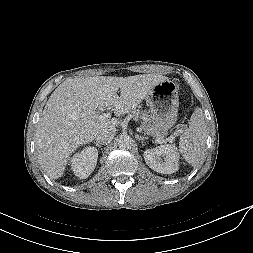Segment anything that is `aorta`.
Instances as JSON below:
<instances>
[{
	"label": "aorta",
	"instance_id": "obj_1",
	"mask_svg": "<svg viewBox=\"0 0 253 253\" xmlns=\"http://www.w3.org/2000/svg\"><path fill=\"white\" fill-rule=\"evenodd\" d=\"M118 146L121 149H129L132 146V139L127 135H123L118 139Z\"/></svg>",
	"mask_w": 253,
	"mask_h": 253
}]
</instances>
